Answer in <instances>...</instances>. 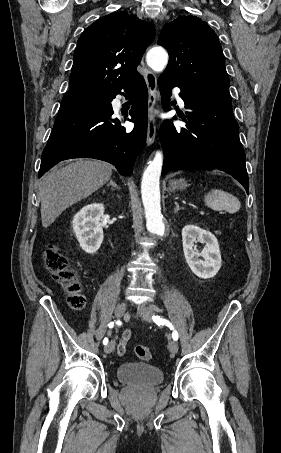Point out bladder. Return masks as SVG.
I'll return each mask as SVG.
<instances>
[{
  "instance_id": "31cf9c89",
  "label": "bladder",
  "mask_w": 281,
  "mask_h": 453,
  "mask_svg": "<svg viewBox=\"0 0 281 453\" xmlns=\"http://www.w3.org/2000/svg\"><path fill=\"white\" fill-rule=\"evenodd\" d=\"M119 380L139 386H155L160 384L164 375L163 372L154 366L138 363H125L117 368Z\"/></svg>"
}]
</instances>
